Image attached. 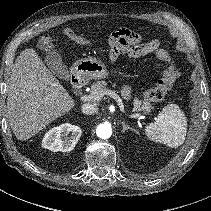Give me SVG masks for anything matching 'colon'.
Returning <instances> with one entry per match:
<instances>
[{
  "instance_id": "1",
  "label": "colon",
  "mask_w": 211,
  "mask_h": 211,
  "mask_svg": "<svg viewBox=\"0 0 211 211\" xmlns=\"http://www.w3.org/2000/svg\"><path fill=\"white\" fill-rule=\"evenodd\" d=\"M64 34L76 43L83 44L85 39L70 28L64 30ZM113 43L110 45L109 58L114 61L120 53H128L131 56H138L149 52H154L155 55L162 61L166 62L167 66L162 77L157 81L156 85L145 92L144 98L148 102L161 101L167 92L175 83L179 70L171 62L169 54L160 48L158 40L150 43H141L140 36L129 30H119L113 37ZM38 48L45 54L55 50V45L52 43L51 37L46 35L40 38Z\"/></svg>"
}]
</instances>
